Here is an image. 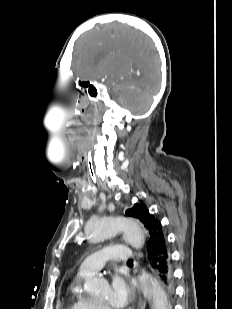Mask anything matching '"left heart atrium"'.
<instances>
[{
  "label": "left heart atrium",
  "instance_id": "1",
  "mask_svg": "<svg viewBox=\"0 0 232 309\" xmlns=\"http://www.w3.org/2000/svg\"><path fill=\"white\" fill-rule=\"evenodd\" d=\"M134 299V289L120 275H113L110 283V303L115 309L126 308Z\"/></svg>",
  "mask_w": 232,
  "mask_h": 309
}]
</instances>
